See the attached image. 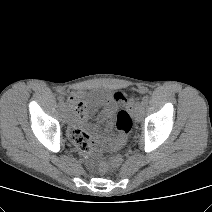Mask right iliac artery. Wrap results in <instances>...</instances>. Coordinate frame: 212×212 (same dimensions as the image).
<instances>
[{
    "instance_id": "1",
    "label": "right iliac artery",
    "mask_w": 212,
    "mask_h": 212,
    "mask_svg": "<svg viewBox=\"0 0 212 212\" xmlns=\"http://www.w3.org/2000/svg\"><path fill=\"white\" fill-rule=\"evenodd\" d=\"M58 100H59L60 109L64 110L65 104H64V101H63L62 97H59Z\"/></svg>"
}]
</instances>
